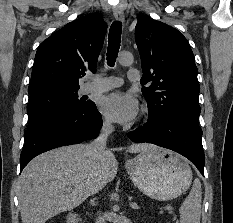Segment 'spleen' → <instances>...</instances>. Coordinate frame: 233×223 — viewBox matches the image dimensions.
Wrapping results in <instances>:
<instances>
[{"mask_svg": "<svg viewBox=\"0 0 233 223\" xmlns=\"http://www.w3.org/2000/svg\"><path fill=\"white\" fill-rule=\"evenodd\" d=\"M201 199V181L196 177L189 195L179 209L180 223H200Z\"/></svg>", "mask_w": 233, "mask_h": 223, "instance_id": "spleen-1", "label": "spleen"}]
</instances>
